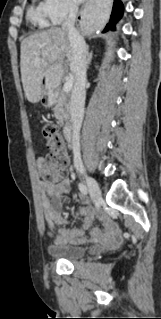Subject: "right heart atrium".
<instances>
[{
    "label": "right heart atrium",
    "instance_id": "right-heart-atrium-1",
    "mask_svg": "<svg viewBox=\"0 0 161 319\" xmlns=\"http://www.w3.org/2000/svg\"><path fill=\"white\" fill-rule=\"evenodd\" d=\"M44 6L53 25H59L67 16L76 11L72 0H44Z\"/></svg>",
    "mask_w": 161,
    "mask_h": 319
}]
</instances>
